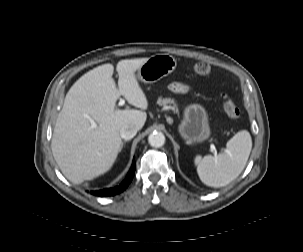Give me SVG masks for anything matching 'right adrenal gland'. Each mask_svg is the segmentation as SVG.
<instances>
[{
	"label": "right adrenal gland",
	"mask_w": 303,
	"mask_h": 252,
	"mask_svg": "<svg viewBox=\"0 0 303 252\" xmlns=\"http://www.w3.org/2000/svg\"><path fill=\"white\" fill-rule=\"evenodd\" d=\"M125 143H126V141L121 143L120 151H121V149H122V147L124 146Z\"/></svg>",
	"instance_id": "1"
}]
</instances>
